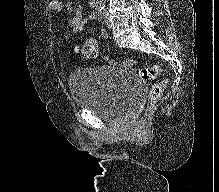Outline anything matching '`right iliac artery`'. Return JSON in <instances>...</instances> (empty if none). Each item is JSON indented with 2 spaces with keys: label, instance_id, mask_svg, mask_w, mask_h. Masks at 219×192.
<instances>
[{
  "label": "right iliac artery",
  "instance_id": "82829eb1",
  "mask_svg": "<svg viewBox=\"0 0 219 192\" xmlns=\"http://www.w3.org/2000/svg\"><path fill=\"white\" fill-rule=\"evenodd\" d=\"M104 8H105V5L102 4V3H100V4H98V5L96 6V11H97V12H102V11L104 10Z\"/></svg>",
  "mask_w": 219,
  "mask_h": 192
}]
</instances>
